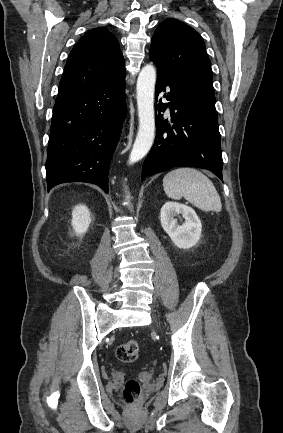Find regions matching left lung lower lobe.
I'll use <instances>...</instances> for the list:
<instances>
[{"mask_svg":"<svg viewBox=\"0 0 283 433\" xmlns=\"http://www.w3.org/2000/svg\"><path fill=\"white\" fill-rule=\"evenodd\" d=\"M154 62V61H153ZM156 64L158 77L155 88L156 138L142 167V181L173 167L208 169L222 181V152L217 117L201 113L192 104L190 81ZM170 89L161 103L159 93ZM159 102V103H157ZM169 107L170 116L161 112Z\"/></svg>","mask_w":283,"mask_h":433,"instance_id":"left-lung-lower-lobe-1","label":"left lung lower lobe"}]
</instances>
